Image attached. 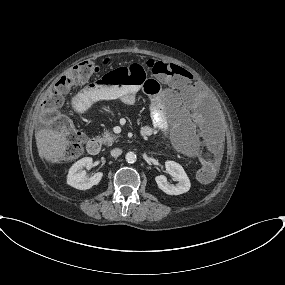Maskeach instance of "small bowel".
<instances>
[{"label":"small bowel","instance_id":"obj_1","mask_svg":"<svg viewBox=\"0 0 285 285\" xmlns=\"http://www.w3.org/2000/svg\"><path fill=\"white\" fill-rule=\"evenodd\" d=\"M185 85L186 78L184 76H180L174 83V86L179 89H183ZM139 90L140 86L124 85L122 87H103L98 83H90L72 97L71 103L76 111H80L87 105L99 100L119 99L126 105H133ZM163 107L170 111L171 121L173 123L179 124L183 121L184 110L179 101L164 96L150 98L151 124L145 125L141 129V136L143 138L150 137L155 133L160 134L162 137H166L168 127L167 119L162 112ZM200 138L210 149V154L207 155V162L216 166L217 162L215 158L219 156L221 148L220 137L211 131H206L201 133Z\"/></svg>","mask_w":285,"mask_h":285}]
</instances>
